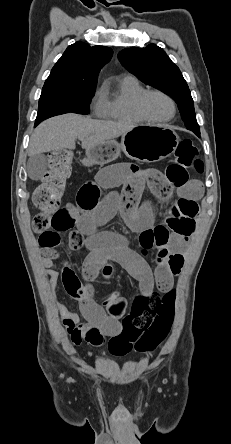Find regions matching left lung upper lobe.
Masks as SVG:
<instances>
[{"label": "left lung upper lobe", "instance_id": "left-lung-upper-lobe-1", "mask_svg": "<svg viewBox=\"0 0 231 444\" xmlns=\"http://www.w3.org/2000/svg\"><path fill=\"white\" fill-rule=\"evenodd\" d=\"M118 57L122 65L142 82L170 95L176 101L186 127L200 135L189 87L177 65L162 48L155 44L145 48H127Z\"/></svg>", "mask_w": 231, "mask_h": 444}]
</instances>
